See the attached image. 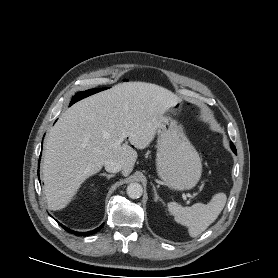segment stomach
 Masks as SVG:
<instances>
[{
  "instance_id": "obj_1",
  "label": "stomach",
  "mask_w": 278,
  "mask_h": 278,
  "mask_svg": "<svg viewBox=\"0 0 278 278\" xmlns=\"http://www.w3.org/2000/svg\"><path fill=\"white\" fill-rule=\"evenodd\" d=\"M157 136L156 166L159 178L177 191L195 187L202 173L201 159L182 126L175 119L163 116Z\"/></svg>"
}]
</instances>
